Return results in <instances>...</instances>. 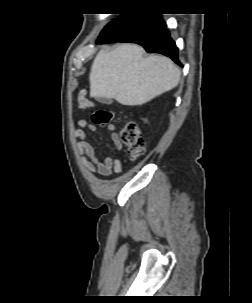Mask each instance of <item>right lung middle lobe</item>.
Masks as SVG:
<instances>
[{
    "label": "right lung middle lobe",
    "mask_w": 252,
    "mask_h": 303,
    "mask_svg": "<svg viewBox=\"0 0 252 303\" xmlns=\"http://www.w3.org/2000/svg\"><path fill=\"white\" fill-rule=\"evenodd\" d=\"M123 16V14L122 15H120V17H119V19L121 18ZM118 19V20H119ZM117 20V21H118ZM117 21H113V22H110L103 30H102V32L100 33V36H99V38L100 37H102L103 35H105L116 23H117Z\"/></svg>",
    "instance_id": "obj_1"
}]
</instances>
